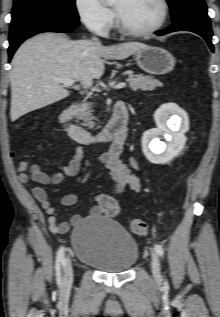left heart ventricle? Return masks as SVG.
<instances>
[{
	"label": "left heart ventricle",
	"instance_id": "obj_1",
	"mask_svg": "<svg viewBox=\"0 0 220 317\" xmlns=\"http://www.w3.org/2000/svg\"><path fill=\"white\" fill-rule=\"evenodd\" d=\"M113 6L121 22L135 30L153 26L161 16L158 0H115Z\"/></svg>",
	"mask_w": 220,
	"mask_h": 317
}]
</instances>
